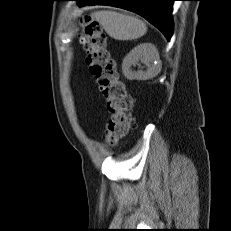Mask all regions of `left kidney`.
Segmentation results:
<instances>
[{"label": "left kidney", "instance_id": "left-kidney-1", "mask_svg": "<svg viewBox=\"0 0 231 231\" xmlns=\"http://www.w3.org/2000/svg\"><path fill=\"white\" fill-rule=\"evenodd\" d=\"M157 48L152 43H142L132 49L124 58L122 71L129 80H148L155 77L161 70ZM147 66L145 71H132L131 66L137 61Z\"/></svg>", "mask_w": 231, "mask_h": 231}]
</instances>
